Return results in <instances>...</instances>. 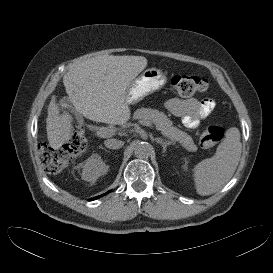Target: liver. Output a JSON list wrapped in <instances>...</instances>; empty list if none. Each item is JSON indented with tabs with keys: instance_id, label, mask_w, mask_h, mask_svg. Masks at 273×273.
Wrapping results in <instances>:
<instances>
[{
	"instance_id": "1",
	"label": "liver",
	"mask_w": 273,
	"mask_h": 273,
	"mask_svg": "<svg viewBox=\"0 0 273 273\" xmlns=\"http://www.w3.org/2000/svg\"><path fill=\"white\" fill-rule=\"evenodd\" d=\"M146 66L143 56L101 55L73 65L63 76V84L71 103L84 117L122 125L131 116L127 88ZM72 122L68 112H60L53 95L46 119L47 138L53 149H60L71 139Z\"/></svg>"
}]
</instances>
